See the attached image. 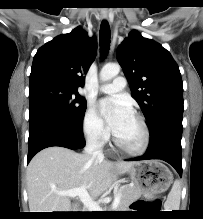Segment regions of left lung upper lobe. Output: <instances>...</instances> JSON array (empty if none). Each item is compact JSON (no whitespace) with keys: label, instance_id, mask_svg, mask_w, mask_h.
Instances as JSON below:
<instances>
[{"label":"left lung upper lobe","instance_id":"obj_1","mask_svg":"<svg viewBox=\"0 0 203 219\" xmlns=\"http://www.w3.org/2000/svg\"><path fill=\"white\" fill-rule=\"evenodd\" d=\"M117 60L153 132L163 122L183 116V82L171 54L133 30L118 47Z\"/></svg>","mask_w":203,"mask_h":219}]
</instances>
